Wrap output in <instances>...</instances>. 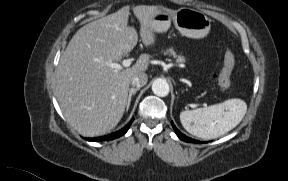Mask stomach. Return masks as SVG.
<instances>
[{
  "label": "stomach",
  "instance_id": "0dacf381",
  "mask_svg": "<svg viewBox=\"0 0 288 181\" xmlns=\"http://www.w3.org/2000/svg\"><path fill=\"white\" fill-rule=\"evenodd\" d=\"M155 7L157 12L152 19L156 32L167 31L171 22L182 35L189 38H204L210 31V19L198 10L183 7L173 11L163 6Z\"/></svg>",
  "mask_w": 288,
  "mask_h": 181
}]
</instances>
